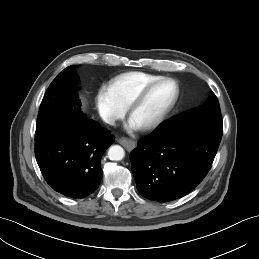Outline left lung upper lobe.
I'll list each match as a JSON object with an SVG mask.
<instances>
[{
  "instance_id": "obj_1",
  "label": "left lung upper lobe",
  "mask_w": 259,
  "mask_h": 259,
  "mask_svg": "<svg viewBox=\"0 0 259 259\" xmlns=\"http://www.w3.org/2000/svg\"><path fill=\"white\" fill-rule=\"evenodd\" d=\"M191 118H202L221 121L222 115L219 102L213 92L210 93L209 100L202 107L188 110L187 112L172 117L171 119L162 123L153 133H159L170 126Z\"/></svg>"
}]
</instances>
